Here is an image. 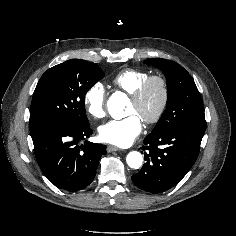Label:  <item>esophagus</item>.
I'll use <instances>...</instances> for the list:
<instances>
[{
    "instance_id": "1",
    "label": "esophagus",
    "mask_w": 236,
    "mask_h": 236,
    "mask_svg": "<svg viewBox=\"0 0 236 236\" xmlns=\"http://www.w3.org/2000/svg\"><path fill=\"white\" fill-rule=\"evenodd\" d=\"M121 150L120 148L116 147V146H113V145H108L107 146V152H114V151H119Z\"/></svg>"
}]
</instances>
